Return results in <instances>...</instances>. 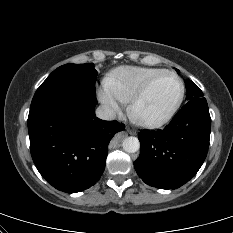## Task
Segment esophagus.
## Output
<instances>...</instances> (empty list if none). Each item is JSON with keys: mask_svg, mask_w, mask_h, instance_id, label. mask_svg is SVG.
<instances>
[{"mask_svg": "<svg viewBox=\"0 0 233 233\" xmlns=\"http://www.w3.org/2000/svg\"><path fill=\"white\" fill-rule=\"evenodd\" d=\"M126 130H127V132H128L129 134H131V135H134V134H135V132H134L133 130H131L130 128H126Z\"/></svg>", "mask_w": 233, "mask_h": 233, "instance_id": "obj_1", "label": "esophagus"}]
</instances>
